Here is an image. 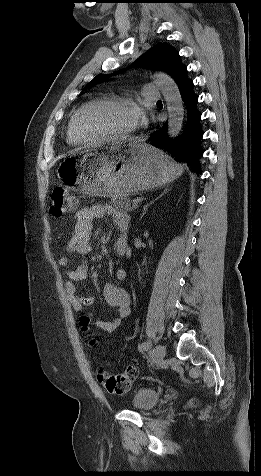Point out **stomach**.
Instances as JSON below:
<instances>
[{"label":"stomach","mask_w":261,"mask_h":476,"mask_svg":"<svg viewBox=\"0 0 261 476\" xmlns=\"http://www.w3.org/2000/svg\"><path fill=\"white\" fill-rule=\"evenodd\" d=\"M63 183H73L80 195L127 197L164 186L182 174V168L162 151L141 141L94 144L93 151L67 156L61 164Z\"/></svg>","instance_id":"stomach-1"}]
</instances>
